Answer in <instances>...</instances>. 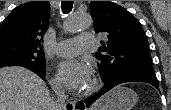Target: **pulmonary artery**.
Segmentation results:
<instances>
[{"mask_svg": "<svg viewBox=\"0 0 171 110\" xmlns=\"http://www.w3.org/2000/svg\"><path fill=\"white\" fill-rule=\"evenodd\" d=\"M95 43L92 33H81L78 37L59 42L55 47L57 55L71 57L80 54Z\"/></svg>", "mask_w": 171, "mask_h": 110, "instance_id": "pulmonary-artery-1", "label": "pulmonary artery"}]
</instances>
